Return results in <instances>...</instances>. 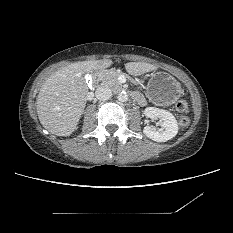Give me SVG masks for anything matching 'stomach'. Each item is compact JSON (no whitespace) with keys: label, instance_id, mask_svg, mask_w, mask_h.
<instances>
[{"label":"stomach","instance_id":"0dacf381","mask_svg":"<svg viewBox=\"0 0 233 233\" xmlns=\"http://www.w3.org/2000/svg\"><path fill=\"white\" fill-rule=\"evenodd\" d=\"M181 94L180 83L169 73L159 71L150 75L147 95L152 101L169 105L178 100Z\"/></svg>","mask_w":233,"mask_h":233}]
</instances>
